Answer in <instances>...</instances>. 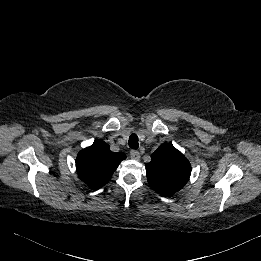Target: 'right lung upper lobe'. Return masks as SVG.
<instances>
[{"label": "right lung upper lobe", "mask_w": 261, "mask_h": 261, "mask_svg": "<svg viewBox=\"0 0 261 261\" xmlns=\"http://www.w3.org/2000/svg\"><path fill=\"white\" fill-rule=\"evenodd\" d=\"M125 158L124 153H114L106 142L96 140L78 153L76 170L84 183L92 189H98L110 180L113 172Z\"/></svg>", "instance_id": "1"}]
</instances>
